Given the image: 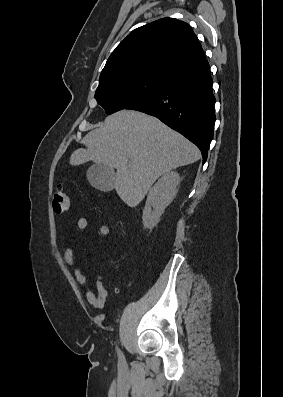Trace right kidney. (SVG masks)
Masks as SVG:
<instances>
[{
  "label": "right kidney",
  "mask_w": 283,
  "mask_h": 397,
  "mask_svg": "<svg viewBox=\"0 0 283 397\" xmlns=\"http://www.w3.org/2000/svg\"><path fill=\"white\" fill-rule=\"evenodd\" d=\"M179 184V174L175 171H169L149 190L142 216L145 228L151 229L158 223L165 208L174 199Z\"/></svg>",
  "instance_id": "1"
}]
</instances>
